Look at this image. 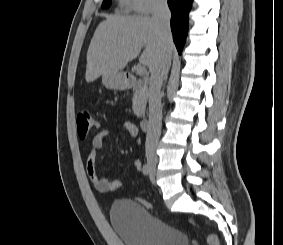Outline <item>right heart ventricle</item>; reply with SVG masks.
<instances>
[{
  "instance_id": "obj_1",
  "label": "right heart ventricle",
  "mask_w": 283,
  "mask_h": 245,
  "mask_svg": "<svg viewBox=\"0 0 283 245\" xmlns=\"http://www.w3.org/2000/svg\"><path fill=\"white\" fill-rule=\"evenodd\" d=\"M118 1H119L120 6L122 8H124L125 10H130L131 9L128 0H118Z\"/></svg>"
}]
</instances>
